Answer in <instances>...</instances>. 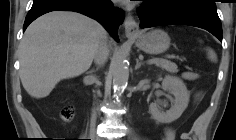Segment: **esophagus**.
<instances>
[{
	"mask_svg": "<svg viewBox=\"0 0 236 140\" xmlns=\"http://www.w3.org/2000/svg\"><path fill=\"white\" fill-rule=\"evenodd\" d=\"M124 27L126 35H136L139 32V25L131 15L126 17Z\"/></svg>",
	"mask_w": 236,
	"mask_h": 140,
	"instance_id": "obj_1",
	"label": "esophagus"
}]
</instances>
